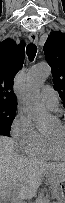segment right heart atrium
Masks as SVG:
<instances>
[{
	"instance_id": "obj_1",
	"label": "right heart atrium",
	"mask_w": 65,
	"mask_h": 203,
	"mask_svg": "<svg viewBox=\"0 0 65 203\" xmlns=\"http://www.w3.org/2000/svg\"><path fill=\"white\" fill-rule=\"evenodd\" d=\"M11 135L17 148L26 153L36 145L40 138V133L31 116L24 112H20L16 116L11 126Z\"/></svg>"
}]
</instances>
